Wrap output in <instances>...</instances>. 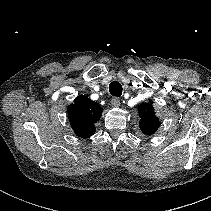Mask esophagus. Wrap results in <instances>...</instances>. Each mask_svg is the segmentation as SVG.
Listing matches in <instances>:
<instances>
[{
    "instance_id": "esophagus-1",
    "label": "esophagus",
    "mask_w": 211,
    "mask_h": 211,
    "mask_svg": "<svg viewBox=\"0 0 211 211\" xmlns=\"http://www.w3.org/2000/svg\"><path fill=\"white\" fill-rule=\"evenodd\" d=\"M111 104L113 107H119L120 106V100L119 98L115 97L111 100Z\"/></svg>"
}]
</instances>
